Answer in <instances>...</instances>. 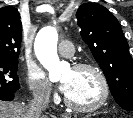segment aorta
<instances>
[{
  "label": "aorta",
  "mask_w": 133,
  "mask_h": 118,
  "mask_svg": "<svg viewBox=\"0 0 133 118\" xmlns=\"http://www.w3.org/2000/svg\"><path fill=\"white\" fill-rule=\"evenodd\" d=\"M58 32L55 27L42 28L35 39V54L40 63L48 70L50 80H58L68 64L61 62L57 54Z\"/></svg>",
  "instance_id": "762f6f07"
}]
</instances>
